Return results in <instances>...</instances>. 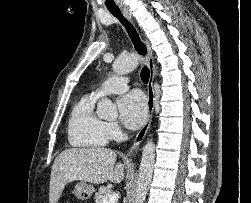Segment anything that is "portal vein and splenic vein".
Returning a JSON list of instances; mask_svg holds the SVG:
<instances>
[{
  "mask_svg": "<svg viewBox=\"0 0 251 203\" xmlns=\"http://www.w3.org/2000/svg\"><path fill=\"white\" fill-rule=\"evenodd\" d=\"M118 198H119L118 193H112L104 198L103 203H117Z\"/></svg>",
  "mask_w": 251,
  "mask_h": 203,
  "instance_id": "18ae733b",
  "label": "portal vein and splenic vein"
}]
</instances>
